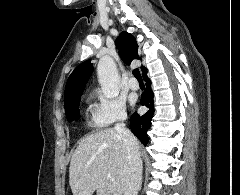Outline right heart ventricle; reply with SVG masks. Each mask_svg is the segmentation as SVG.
I'll return each instance as SVG.
<instances>
[{
  "mask_svg": "<svg viewBox=\"0 0 240 195\" xmlns=\"http://www.w3.org/2000/svg\"><path fill=\"white\" fill-rule=\"evenodd\" d=\"M95 125V126H97V127H102L103 126V124H101V123H99L95 118H94V122L93 123H89V125Z\"/></svg>",
  "mask_w": 240,
  "mask_h": 195,
  "instance_id": "obj_1",
  "label": "right heart ventricle"
}]
</instances>
